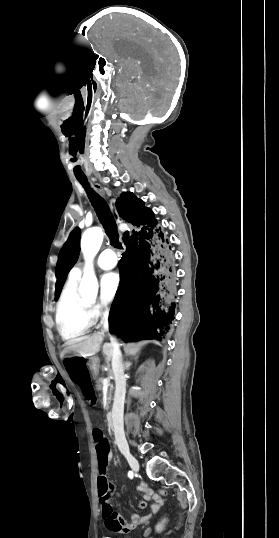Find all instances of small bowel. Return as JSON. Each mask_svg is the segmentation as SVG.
<instances>
[{
	"label": "small bowel",
	"mask_w": 279,
	"mask_h": 538,
	"mask_svg": "<svg viewBox=\"0 0 279 538\" xmlns=\"http://www.w3.org/2000/svg\"><path fill=\"white\" fill-rule=\"evenodd\" d=\"M112 458V454L109 456V461ZM108 461V462H109ZM137 490H139L144 500L140 501L138 504V507L141 510H144L147 507V501L153 500V504L151 505V513L145 514L143 516L134 514L130 517V519L127 521L117 515L116 513H113L111 516H103L105 520L106 528L112 532L116 533H127L132 530H134L136 527H138L140 524L148 521L152 514H156L161 505L162 500L159 496L155 495L152 490L145 484H140L136 487Z\"/></svg>",
	"instance_id": "obj_1"
}]
</instances>
